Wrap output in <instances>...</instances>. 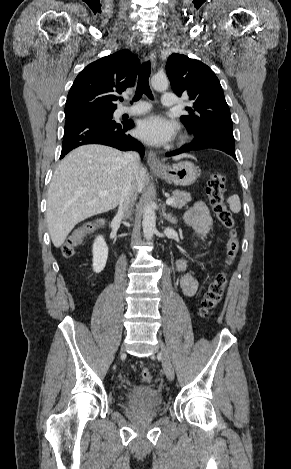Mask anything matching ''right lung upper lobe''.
Instances as JSON below:
<instances>
[{
  "mask_svg": "<svg viewBox=\"0 0 291 469\" xmlns=\"http://www.w3.org/2000/svg\"><path fill=\"white\" fill-rule=\"evenodd\" d=\"M140 61L124 49L86 66L76 77L65 105V116L92 110H115V93L132 87Z\"/></svg>",
  "mask_w": 291,
  "mask_h": 469,
  "instance_id": "obj_1",
  "label": "right lung upper lobe"
}]
</instances>
